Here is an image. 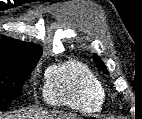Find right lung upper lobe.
<instances>
[{"label": "right lung upper lobe", "instance_id": "right-lung-upper-lobe-1", "mask_svg": "<svg viewBox=\"0 0 142 119\" xmlns=\"http://www.w3.org/2000/svg\"><path fill=\"white\" fill-rule=\"evenodd\" d=\"M42 54L41 46L20 42L5 36L0 40V67L38 61Z\"/></svg>", "mask_w": 142, "mask_h": 119}]
</instances>
